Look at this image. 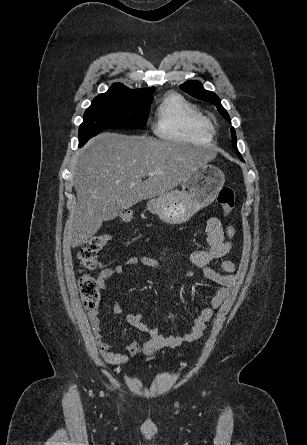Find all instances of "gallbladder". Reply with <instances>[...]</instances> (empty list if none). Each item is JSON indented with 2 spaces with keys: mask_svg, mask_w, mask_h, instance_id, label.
<instances>
[{
  "mask_svg": "<svg viewBox=\"0 0 307 445\" xmlns=\"http://www.w3.org/2000/svg\"><path fill=\"white\" fill-rule=\"evenodd\" d=\"M118 210H119L118 204H115V203L107 204V206H106L107 215H105V217H104L105 222L110 223V222H112L113 219L117 218Z\"/></svg>",
  "mask_w": 307,
  "mask_h": 445,
  "instance_id": "1",
  "label": "gallbladder"
}]
</instances>
